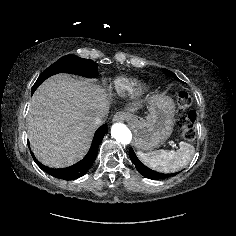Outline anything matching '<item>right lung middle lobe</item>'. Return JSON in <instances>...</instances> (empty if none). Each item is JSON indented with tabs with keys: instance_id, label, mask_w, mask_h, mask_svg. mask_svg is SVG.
<instances>
[{
	"instance_id": "1",
	"label": "right lung middle lobe",
	"mask_w": 236,
	"mask_h": 236,
	"mask_svg": "<svg viewBox=\"0 0 236 236\" xmlns=\"http://www.w3.org/2000/svg\"><path fill=\"white\" fill-rule=\"evenodd\" d=\"M62 72L94 78L97 74V64L92 60L83 59L74 55L63 56L43 71V73L38 77L32 87V94L48 77Z\"/></svg>"
}]
</instances>
